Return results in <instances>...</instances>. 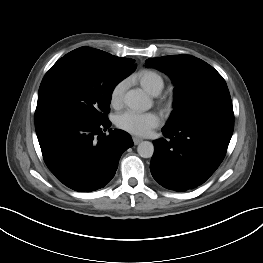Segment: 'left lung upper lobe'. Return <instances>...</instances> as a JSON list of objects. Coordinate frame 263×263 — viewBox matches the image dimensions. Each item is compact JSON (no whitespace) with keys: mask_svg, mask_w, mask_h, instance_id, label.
Wrapping results in <instances>:
<instances>
[{"mask_svg":"<svg viewBox=\"0 0 263 263\" xmlns=\"http://www.w3.org/2000/svg\"><path fill=\"white\" fill-rule=\"evenodd\" d=\"M145 64L166 73L175 85L174 110L166 125L189 122L211 113L233 115L225 80L203 60L172 55L149 58Z\"/></svg>","mask_w":263,"mask_h":263,"instance_id":"left-lung-upper-lobe-1","label":"left lung upper lobe"}]
</instances>
